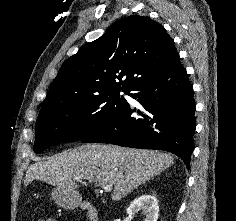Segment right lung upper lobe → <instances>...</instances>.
<instances>
[{
    "label": "right lung upper lobe",
    "instance_id": "cb5924a9",
    "mask_svg": "<svg viewBox=\"0 0 236 221\" xmlns=\"http://www.w3.org/2000/svg\"><path fill=\"white\" fill-rule=\"evenodd\" d=\"M177 55L173 39L158 22L139 15L119 19L62 64L41 109L85 96L130 90Z\"/></svg>",
    "mask_w": 236,
    "mask_h": 221
}]
</instances>
